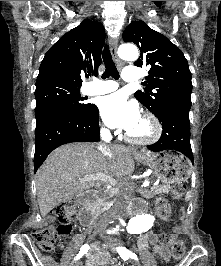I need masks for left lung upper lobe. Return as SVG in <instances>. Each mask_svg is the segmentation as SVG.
Segmentation results:
<instances>
[{"instance_id": "5c2ea615", "label": "left lung upper lobe", "mask_w": 221, "mask_h": 266, "mask_svg": "<svg viewBox=\"0 0 221 266\" xmlns=\"http://www.w3.org/2000/svg\"><path fill=\"white\" fill-rule=\"evenodd\" d=\"M125 42L135 43L140 57L135 66L150 68L147 87L134 96L158 119L171 108H191V72L184 54L164 35L144 21H133L123 32Z\"/></svg>"}]
</instances>
